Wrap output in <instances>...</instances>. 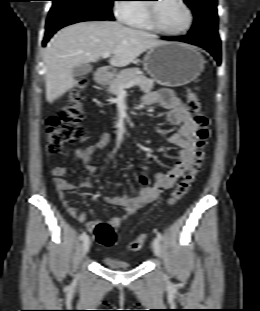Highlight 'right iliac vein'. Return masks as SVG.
I'll return each instance as SVG.
<instances>
[{
    "label": "right iliac vein",
    "instance_id": "1",
    "mask_svg": "<svg viewBox=\"0 0 260 311\" xmlns=\"http://www.w3.org/2000/svg\"><path fill=\"white\" fill-rule=\"evenodd\" d=\"M90 246H91V240L90 238L87 236L84 240H83V243H82V255L85 256L89 249H90Z\"/></svg>",
    "mask_w": 260,
    "mask_h": 311
}]
</instances>
